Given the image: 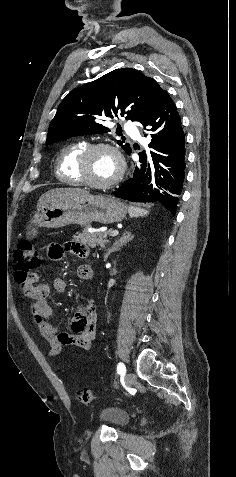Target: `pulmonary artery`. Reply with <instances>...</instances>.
<instances>
[{
    "label": "pulmonary artery",
    "mask_w": 236,
    "mask_h": 477,
    "mask_svg": "<svg viewBox=\"0 0 236 477\" xmlns=\"http://www.w3.org/2000/svg\"><path fill=\"white\" fill-rule=\"evenodd\" d=\"M124 130H125V132H126L127 134H129V135H133V136L136 137V138L139 137V135L136 133V131H135V129H134V127L132 126L131 123H126V124L124 125Z\"/></svg>",
    "instance_id": "obj_1"
}]
</instances>
